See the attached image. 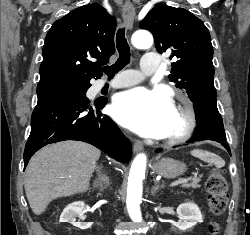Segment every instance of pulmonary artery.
I'll list each match as a JSON object with an SVG mask.
<instances>
[{
  "label": "pulmonary artery",
  "mask_w": 250,
  "mask_h": 235,
  "mask_svg": "<svg viewBox=\"0 0 250 235\" xmlns=\"http://www.w3.org/2000/svg\"><path fill=\"white\" fill-rule=\"evenodd\" d=\"M160 66V60L156 53H146L143 56L140 72L138 71H129L125 75H121L112 81H110V85L112 87H127L138 83L142 80L144 74L151 73L156 71ZM103 83H99V87H102Z\"/></svg>",
  "instance_id": "1"
}]
</instances>
